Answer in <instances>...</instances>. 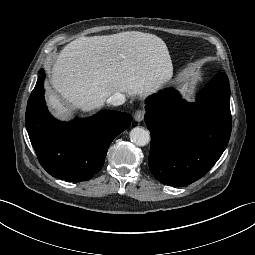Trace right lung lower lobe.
I'll list each match as a JSON object with an SVG mask.
<instances>
[{"label": "right lung lower lobe", "mask_w": 255, "mask_h": 255, "mask_svg": "<svg viewBox=\"0 0 255 255\" xmlns=\"http://www.w3.org/2000/svg\"><path fill=\"white\" fill-rule=\"evenodd\" d=\"M27 103L26 129L41 166L53 177L80 182L91 179L104 165L113 139L132 121L128 113L102 110L71 123L56 120L44 100V70Z\"/></svg>", "instance_id": "1"}]
</instances>
